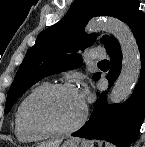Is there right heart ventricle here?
I'll list each match as a JSON object with an SVG mask.
<instances>
[{
  "label": "right heart ventricle",
  "mask_w": 145,
  "mask_h": 147,
  "mask_svg": "<svg viewBox=\"0 0 145 147\" xmlns=\"http://www.w3.org/2000/svg\"><path fill=\"white\" fill-rule=\"evenodd\" d=\"M48 85L47 83H41L39 85H37L35 88H33L28 94H26L23 99L20 101V103L18 104L16 111H15V115H14V133L16 135V138L20 141V142H35V141H39L42 140L44 138H46L48 135H46L43 132L40 131H34L29 129L22 117V112H23V107L24 104L27 100V98L34 93L35 91H37L38 89L44 87Z\"/></svg>",
  "instance_id": "obj_1"
}]
</instances>
